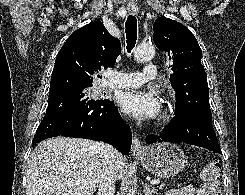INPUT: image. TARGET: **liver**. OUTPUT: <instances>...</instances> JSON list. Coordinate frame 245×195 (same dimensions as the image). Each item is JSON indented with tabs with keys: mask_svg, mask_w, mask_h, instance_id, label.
<instances>
[{
	"mask_svg": "<svg viewBox=\"0 0 245 195\" xmlns=\"http://www.w3.org/2000/svg\"><path fill=\"white\" fill-rule=\"evenodd\" d=\"M115 180L125 160L114 157ZM104 161L103 143L56 137L38 144L28 160L26 195H93Z\"/></svg>",
	"mask_w": 245,
	"mask_h": 195,
	"instance_id": "liver-1",
	"label": "liver"
}]
</instances>
